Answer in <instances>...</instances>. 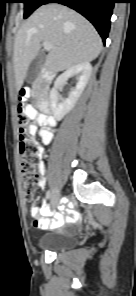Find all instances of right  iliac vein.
Wrapping results in <instances>:
<instances>
[{"label": "right iliac vein", "mask_w": 136, "mask_h": 296, "mask_svg": "<svg viewBox=\"0 0 136 296\" xmlns=\"http://www.w3.org/2000/svg\"><path fill=\"white\" fill-rule=\"evenodd\" d=\"M59 196H60L59 190L54 189L52 192V195H51V207L52 208H55L57 206L58 201H59Z\"/></svg>", "instance_id": "obj_1"}]
</instances>
